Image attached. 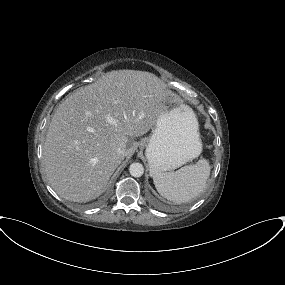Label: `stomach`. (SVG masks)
I'll use <instances>...</instances> for the list:
<instances>
[{
  "label": "stomach",
  "instance_id": "stomach-1",
  "mask_svg": "<svg viewBox=\"0 0 285 285\" xmlns=\"http://www.w3.org/2000/svg\"><path fill=\"white\" fill-rule=\"evenodd\" d=\"M161 103L164 114L152 129L145 155L150 174L172 171L198 157L202 151L198 121L192 111L177 94L165 93Z\"/></svg>",
  "mask_w": 285,
  "mask_h": 285
}]
</instances>
